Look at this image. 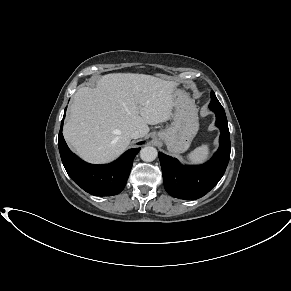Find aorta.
Masks as SVG:
<instances>
[{
    "instance_id": "1",
    "label": "aorta",
    "mask_w": 291,
    "mask_h": 291,
    "mask_svg": "<svg viewBox=\"0 0 291 291\" xmlns=\"http://www.w3.org/2000/svg\"><path fill=\"white\" fill-rule=\"evenodd\" d=\"M140 157L143 161L151 162L157 157V150L154 147L146 146L141 149Z\"/></svg>"
}]
</instances>
